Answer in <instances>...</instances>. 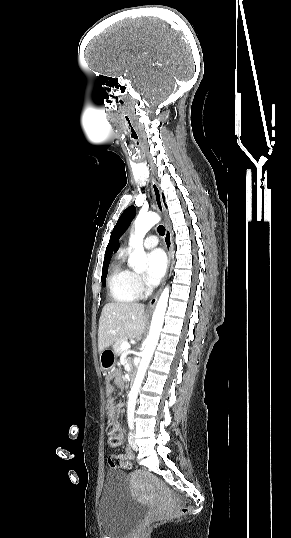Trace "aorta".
Returning <instances> with one entry per match:
<instances>
[{"instance_id":"762f6f07","label":"aorta","mask_w":291,"mask_h":538,"mask_svg":"<svg viewBox=\"0 0 291 538\" xmlns=\"http://www.w3.org/2000/svg\"><path fill=\"white\" fill-rule=\"evenodd\" d=\"M160 217L154 212L139 214L134 223V235L130 237V243L133 244L134 250L130 255L128 263L137 271L144 270L146 263V254L143 248V238L146 233L159 222ZM169 290L165 288L161 293L153 313L150 331L144 341L145 348L142 353L137 374L133 386L128 395L127 413H134L137 396L143 382L146 370L153 356L155 347L158 343L160 332L163 326L164 316L166 312Z\"/></svg>"}]
</instances>
